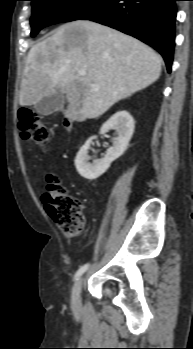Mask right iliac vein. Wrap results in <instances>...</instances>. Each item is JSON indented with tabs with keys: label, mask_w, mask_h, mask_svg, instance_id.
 Here are the masks:
<instances>
[{
	"label": "right iliac vein",
	"mask_w": 193,
	"mask_h": 349,
	"mask_svg": "<svg viewBox=\"0 0 193 349\" xmlns=\"http://www.w3.org/2000/svg\"><path fill=\"white\" fill-rule=\"evenodd\" d=\"M83 277L79 278L73 285L71 291V306L74 310H79L81 307V290Z\"/></svg>",
	"instance_id": "right-iliac-vein-1"
}]
</instances>
